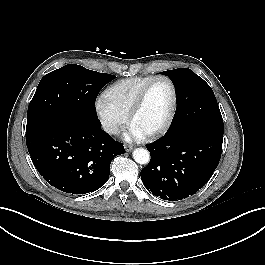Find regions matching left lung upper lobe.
I'll return each mask as SVG.
<instances>
[{
  "mask_svg": "<svg viewBox=\"0 0 265 265\" xmlns=\"http://www.w3.org/2000/svg\"><path fill=\"white\" fill-rule=\"evenodd\" d=\"M177 88L178 105L169 131L202 127L223 133V119L211 87L192 70L164 71Z\"/></svg>",
  "mask_w": 265,
  "mask_h": 265,
  "instance_id": "left-lung-upper-lobe-1",
  "label": "left lung upper lobe"
}]
</instances>
